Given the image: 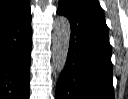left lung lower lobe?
Here are the masks:
<instances>
[{
    "label": "left lung lower lobe",
    "mask_w": 128,
    "mask_h": 99,
    "mask_svg": "<svg viewBox=\"0 0 128 99\" xmlns=\"http://www.w3.org/2000/svg\"><path fill=\"white\" fill-rule=\"evenodd\" d=\"M57 13L69 19L72 31L56 99H114L111 46L103 11L78 0H59Z\"/></svg>",
    "instance_id": "0a47b994"
}]
</instances>
